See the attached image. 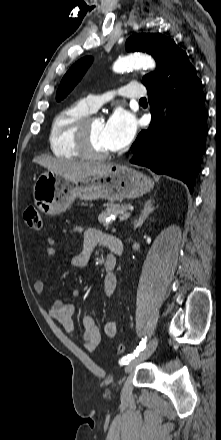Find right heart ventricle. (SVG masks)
<instances>
[{
	"label": "right heart ventricle",
	"instance_id": "e07e8e85",
	"mask_svg": "<svg viewBox=\"0 0 221 440\" xmlns=\"http://www.w3.org/2000/svg\"><path fill=\"white\" fill-rule=\"evenodd\" d=\"M93 110L86 100H78L62 110L53 118L49 132L51 152L60 158L79 159L83 156L76 147L74 128L76 123Z\"/></svg>",
	"mask_w": 221,
	"mask_h": 440
}]
</instances>
